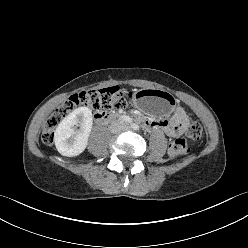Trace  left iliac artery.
Returning a JSON list of instances; mask_svg holds the SVG:
<instances>
[{"label": "left iliac artery", "mask_w": 248, "mask_h": 248, "mask_svg": "<svg viewBox=\"0 0 248 248\" xmlns=\"http://www.w3.org/2000/svg\"><path fill=\"white\" fill-rule=\"evenodd\" d=\"M131 127L134 129V130H139V126L135 123H132L131 124Z\"/></svg>", "instance_id": "1"}]
</instances>
